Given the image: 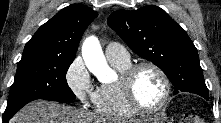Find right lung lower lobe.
<instances>
[{"label": "right lung lower lobe", "mask_w": 221, "mask_h": 123, "mask_svg": "<svg viewBox=\"0 0 221 123\" xmlns=\"http://www.w3.org/2000/svg\"><path fill=\"white\" fill-rule=\"evenodd\" d=\"M11 117H12V116H7V117H6V116L3 115V118H4L6 121H8Z\"/></svg>", "instance_id": "right-lung-lower-lobe-1"}]
</instances>
